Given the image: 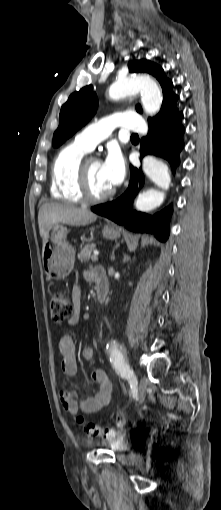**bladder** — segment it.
I'll list each match as a JSON object with an SVG mask.
<instances>
[{
  "label": "bladder",
  "mask_w": 221,
  "mask_h": 510,
  "mask_svg": "<svg viewBox=\"0 0 221 510\" xmlns=\"http://www.w3.org/2000/svg\"><path fill=\"white\" fill-rule=\"evenodd\" d=\"M133 445V439L131 437L125 436L115 439L110 444V449L116 453H125L128 452Z\"/></svg>",
  "instance_id": "31cf9c89"
}]
</instances>
